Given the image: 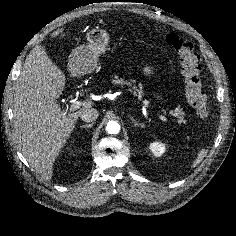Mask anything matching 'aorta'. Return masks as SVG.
<instances>
[{"mask_svg": "<svg viewBox=\"0 0 236 236\" xmlns=\"http://www.w3.org/2000/svg\"><path fill=\"white\" fill-rule=\"evenodd\" d=\"M106 130L109 134H117L120 131V125L116 121H109Z\"/></svg>", "mask_w": 236, "mask_h": 236, "instance_id": "aorta-1", "label": "aorta"}]
</instances>
